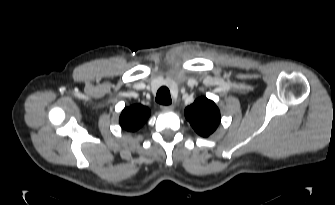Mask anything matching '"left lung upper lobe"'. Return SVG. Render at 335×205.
<instances>
[{"mask_svg": "<svg viewBox=\"0 0 335 205\" xmlns=\"http://www.w3.org/2000/svg\"><path fill=\"white\" fill-rule=\"evenodd\" d=\"M185 117L193 129L202 137L210 136L220 123V111L207 98H198L185 109Z\"/></svg>", "mask_w": 335, "mask_h": 205, "instance_id": "obj_1", "label": "left lung upper lobe"}]
</instances>
